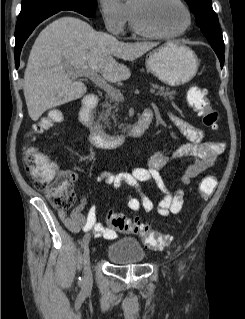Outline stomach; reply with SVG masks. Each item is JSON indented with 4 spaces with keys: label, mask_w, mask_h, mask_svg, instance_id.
Returning a JSON list of instances; mask_svg holds the SVG:
<instances>
[{
    "label": "stomach",
    "mask_w": 245,
    "mask_h": 319,
    "mask_svg": "<svg viewBox=\"0 0 245 319\" xmlns=\"http://www.w3.org/2000/svg\"><path fill=\"white\" fill-rule=\"evenodd\" d=\"M198 66L196 54L179 42L163 45L146 57L148 71L170 86L188 82L197 73Z\"/></svg>",
    "instance_id": "stomach-1"
}]
</instances>
